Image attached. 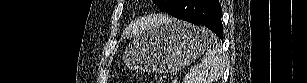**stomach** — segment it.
Segmentation results:
<instances>
[{
  "instance_id": "1",
  "label": "stomach",
  "mask_w": 307,
  "mask_h": 83,
  "mask_svg": "<svg viewBox=\"0 0 307 83\" xmlns=\"http://www.w3.org/2000/svg\"><path fill=\"white\" fill-rule=\"evenodd\" d=\"M211 46L206 29L168 19L138 34L123 60L131 69L174 72L195 61Z\"/></svg>"
}]
</instances>
